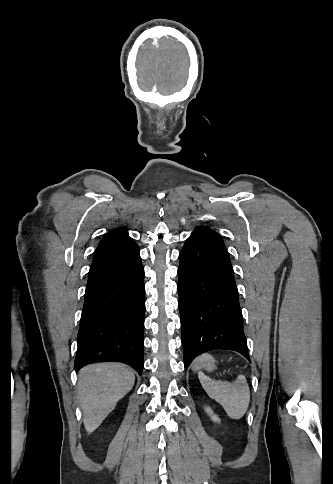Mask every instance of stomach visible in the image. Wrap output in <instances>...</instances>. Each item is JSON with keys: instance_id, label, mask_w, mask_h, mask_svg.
Wrapping results in <instances>:
<instances>
[{"instance_id": "1", "label": "stomach", "mask_w": 333, "mask_h": 484, "mask_svg": "<svg viewBox=\"0 0 333 484\" xmlns=\"http://www.w3.org/2000/svg\"><path fill=\"white\" fill-rule=\"evenodd\" d=\"M215 367V361L209 354H204L197 358L193 365L194 370L204 369L207 371H213Z\"/></svg>"}]
</instances>
